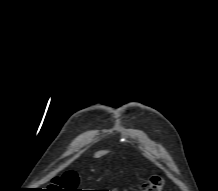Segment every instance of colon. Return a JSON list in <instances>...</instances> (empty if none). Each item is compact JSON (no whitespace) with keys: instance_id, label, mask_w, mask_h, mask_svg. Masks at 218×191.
<instances>
[{"instance_id":"colon-1","label":"colon","mask_w":218,"mask_h":191,"mask_svg":"<svg viewBox=\"0 0 218 191\" xmlns=\"http://www.w3.org/2000/svg\"><path fill=\"white\" fill-rule=\"evenodd\" d=\"M55 182L60 185L62 191H81L78 187V177L74 173H65L57 177ZM163 188V178L158 175H153L143 184L140 191H163Z\"/></svg>"}]
</instances>
